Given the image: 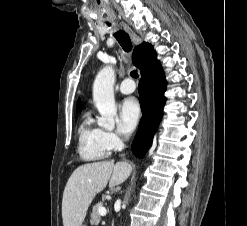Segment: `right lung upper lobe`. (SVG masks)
<instances>
[{
  "instance_id": "right-lung-upper-lobe-1",
  "label": "right lung upper lobe",
  "mask_w": 247,
  "mask_h": 226,
  "mask_svg": "<svg viewBox=\"0 0 247 226\" xmlns=\"http://www.w3.org/2000/svg\"><path fill=\"white\" fill-rule=\"evenodd\" d=\"M151 48L152 46L149 43H142L134 49L133 53V64L142 71L147 65L151 57ZM82 104L80 99L77 102V109L80 111Z\"/></svg>"
}]
</instances>
